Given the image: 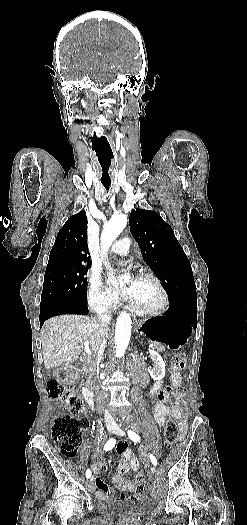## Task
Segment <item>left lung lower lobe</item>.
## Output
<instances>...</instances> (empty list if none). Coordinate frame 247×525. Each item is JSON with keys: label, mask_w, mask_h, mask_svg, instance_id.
<instances>
[{"label": "left lung lower lobe", "mask_w": 247, "mask_h": 525, "mask_svg": "<svg viewBox=\"0 0 247 525\" xmlns=\"http://www.w3.org/2000/svg\"><path fill=\"white\" fill-rule=\"evenodd\" d=\"M162 318L185 321L196 329L197 297H179L171 300L169 310Z\"/></svg>", "instance_id": "obj_1"}]
</instances>
